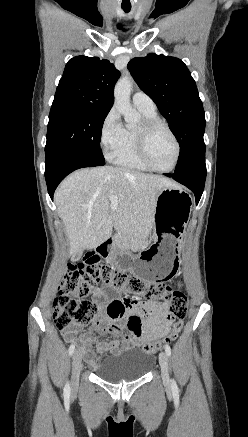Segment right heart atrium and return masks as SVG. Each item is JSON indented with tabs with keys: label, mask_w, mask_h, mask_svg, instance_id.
Here are the masks:
<instances>
[{
	"label": "right heart atrium",
	"mask_w": 248,
	"mask_h": 437,
	"mask_svg": "<svg viewBox=\"0 0 248 437\" xmlns=\"http://www.w3.org/2000/svg\"><path fill=\"white\" fill-rule=\"evenodd\" d=\"M124 141V126L115 108L104 117L100 128V145L109 159H113Z\"/></svg>",
	"instance_id": "1"
}]
</instances>
